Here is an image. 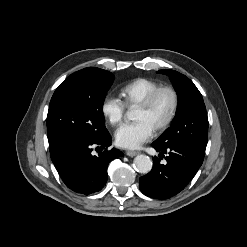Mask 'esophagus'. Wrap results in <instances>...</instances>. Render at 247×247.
Segmentation results:
<instances>
[{
    "label": "esophagus",
    "mask_w": 247,
    "mask_h": 247,
    "mask_svg": "<svg viewBox=\"0 0 247 247\" xmlns=\"http://www.w3.org/2000/svg\"><path fill=\"white\" fill-rule=\"evenodd\" d=\"M137 154H139V152L138 151H126V155L127 156H130V157H134V156H136Z\"/></svg>",
    "instance_id": "obj_1"
}]
</instances>
